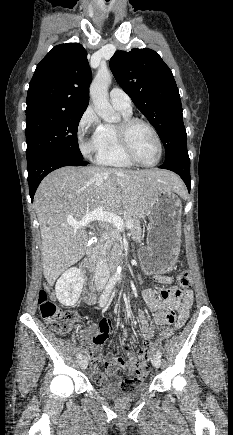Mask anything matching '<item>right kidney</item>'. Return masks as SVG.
I'll list each match as a JSON object with an SVG mask.
<instances>
[{"mask_svg":"<svg viewBox=\"0 0 233 435\" xmlns=\"http://www.w3.org/2000/svg\"><path fill=\"white\" fill-rule=\"evenodd\" d=\"M84 284L83 273L76 267L66 270L55 285L58 301L64 306H73L79 299Z\"/></svg>","mask_w":233,"mask_h":435,"instance_id":"right-kidney-1","label":"right kidney"}]
</instances>
